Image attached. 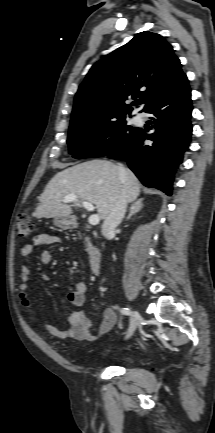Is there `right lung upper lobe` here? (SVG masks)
<instances>
[{
  "label": "right lung upper lobe",
  "instance_id": "right-lung-upper-lobe-1",
  "mask_svg": "<svg viewBox=\"0 0 215 433\" xmlns=\"http://www.w3.org/2000/svg\"><path fill=\"white\" fill-rule=\"evenodd\" d=\"M187 81L172 46L159 34L141 32L92 66L75 96L70 125L126 117L133 110L125 104L130 98L140 97L145 111Z\"/></svg>",
  "mask_w": 215,
  "mask_h": 433
}]
</instances>
